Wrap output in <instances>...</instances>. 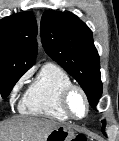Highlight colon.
<instances>
[{
	"label": "colon",
	"instance_id": "colon-1",
	"mask_svg": "<svg viewBox=\"0 0 119 141\" xmlns=\"http://www.w3.org/2000/svg\"><path fill=\"white\" fill-rule=\"evenodd\" d=\"M73 141H86V137L83 135H77Z\"/></svg>",
	"mask_w": 119,
	"mask_h": 141
}]
</instances>
